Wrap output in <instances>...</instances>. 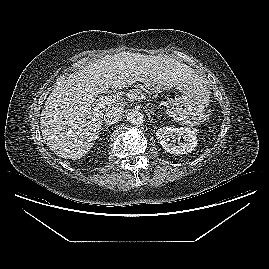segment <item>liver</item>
Here are the masks:
<instances>
[{
  "instance_id": "6515ba94",
  "label": "liver",
  "mask_w": 269,
  "mask_h": 269,
  "mask_svg": "<svg viewBox=\"0 0 269 269\" xmlns=\"http://www.w3.org/2000/svg\"><path fill=\"white\" fill-rule=\"evenodd\" d=\"M137 81L152 82L156 90L203 83L192 68L170 57L120 52L91 63L72 73L48 96L41 113L40 127L47 146L61 158L85 156L99 136L108 108L94 111L91 105L109 88L124 89Z\"/></svg>"
}]
</instances>
